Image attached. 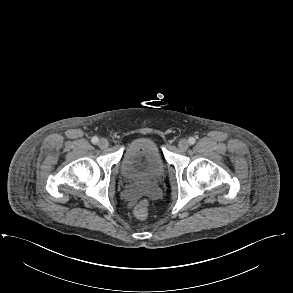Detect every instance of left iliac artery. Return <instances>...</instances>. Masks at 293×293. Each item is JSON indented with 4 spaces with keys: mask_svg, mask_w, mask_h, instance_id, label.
<instances>
[{
    "mask_svg": "<svg viewBox=\"0 0 293 293\" xmlns=\"http://www.w3.org/2000/svg\"><path fill=\"white\" fill-rule=\"evenodd\" d=\"M188 141H189L190 144H194V143L196 142V140H195L194 137H190V138L188 139Z\"/></svg>",
    "mask_w": 293,
    "mask_h": 293,
    "instance_id": "left-iliac-artery-1",
    "label": "left iliac artery"
}]
</instances>
